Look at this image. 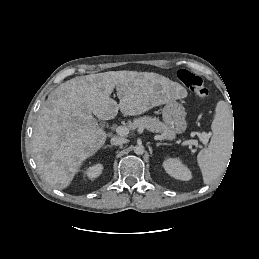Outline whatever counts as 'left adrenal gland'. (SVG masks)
Returning <instances> with one entry per match:
<instances>
[{
	"mask_svg": "<svg viewBox=\"0 0 259 259\" xmlns=\"http://www.w3.org/2000/svg\"><path fill=\"white\" fill-rule=\"evenodd\" d=\"M161 145H169V144H167V143H156V146H157V147H159V146H161Z\"/></svg>",
	"mask_w": 259,
	"mask_h": 259,
	"instance_id": "1",
	"label": "left adrenal gland"
}]
</instances>
